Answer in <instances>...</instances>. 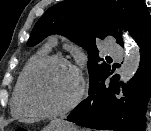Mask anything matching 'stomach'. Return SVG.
Segmentation results:
<instances>
[{
    "mask_svg": "<svg viewBox=\"0 0 151 131\" xmlns=\"http://www.w3.org/2000/svg\"><path fill=\"white\" fill-rule=\"evenodd\" d=\"M43 131H81L79 128L70 123L60 119L52 120Z\"/></svg>",
    "mask_w": 151,
    "mask_h": 131,
    "instance_id": "stomach-1",
    "label": "stomach"
}]
</instances>
